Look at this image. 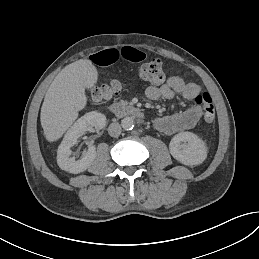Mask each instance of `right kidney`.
<instances>
[{
	"label": "right kidney",
	"mask_w": 259,
	"mask_h": 259,
	"mask_svg": "<svg viewBox=\"0 0 259 259\" xmlns=\"http://www.w3.org/2000/svg\"><path fill=\"white\" fill-rule=\"evenodd\" d=\"M106 125V117L102 113L96 111L88 112L79 118L74 125L67 131L63 141L58 147L57 164L62 169L69 173L78 174L85 171L96 158L95 146H90L82 155L81 159L75 160L71 158L70 148L77 143V139L85 134L89 128L95 127L100 130Z\"/></svg>",
	"instance_id": "obj_1"
}]
</instances>
